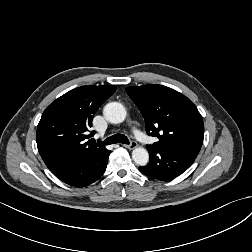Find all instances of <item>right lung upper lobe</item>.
Returning a JSON list of instances; mask_svg holds the SVG:
<instances>
[{"label": "right lung upper lobe", "instance_id": "1", "mask_svg": "<svg viewBox=\"0 0 252 252\" xmlns=\"http://www.w3.org/2000/svg\"><path fill=\"white\" fill-rule=\"evenodd\" d=\"M116 89L113 85L81 86L65 93L45 109L37 126L36 142L49 169L78 156L108 151L86 139L90 136L87 132L92 127L93 115Z\"/></svg>", "mask_w": 252, "mask_h": 252}]
</instances>
